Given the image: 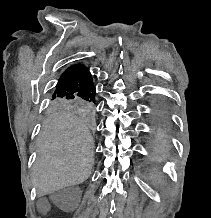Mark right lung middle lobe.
<instances>
[{
  "label": "right lung middle lobe",
  "mask_w": 211,
  "mask_h": 218,
  "mask_svg": "<svg viewBox=\"0 0 211 218\" xmlns=\"http://www.w3.org/2000/svg\"><path fill=\"white\" fill-rule=\"evenodd\" d=\"M95 106L96 102L79 97H52L49 101V109L51 111L82 110L93 112Z\"/></svg>",
  "instance_id": "obj_1"
}]
</instances>
